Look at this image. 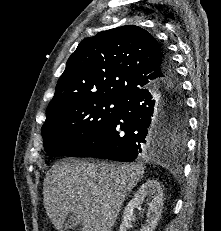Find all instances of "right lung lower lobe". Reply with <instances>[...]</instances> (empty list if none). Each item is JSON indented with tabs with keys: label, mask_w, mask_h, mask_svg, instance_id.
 <instances>
[{
	"label": "right lung lower lobe",
	"mask_w": 221,
	"mask_h": 231,
	"mask_svg": "<svg viewBox=\"0 0 221 231\" xmlns=\"http://www.w3.org/2000/svg\"><path fill=\"white\" fill-rule=\"evenodd\" d=\"M161 73L159 83L128 96L101 129L64 155L132 162L161 153L169 143L164 110L170 103L185 102L175 65L165 50Z\"/></svg>",
	"instance_id": "98d812e1"
}]
</instances>
